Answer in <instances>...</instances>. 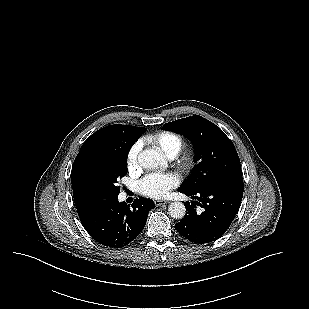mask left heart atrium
Instances as JSON below:
<instances>
[{
    "instance_id": "left-heart-atrium-1",
    "label": "left heart atrium",
    "mask_w": 309,
    "mask_h": 309,
    "mask_svg": "<svg viewBox=\"0 0 309 309\" xmlns=\"http://www.w3.org/2000/svg\"><path fill=\"white\" fill-rule=\"evenodd\" d=\"M178 182V177L171 173H150L140 181L139 190L145 196L163 198Z\"/></svg>"
}]
</instances>
